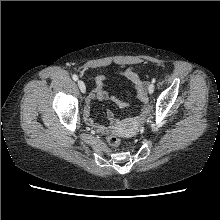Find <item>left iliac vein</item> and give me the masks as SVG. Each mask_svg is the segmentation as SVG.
Masks as SVG:
<instances>
[{
    "label": "left iliac vein",
    "mask_w": 220,
    "mask_h": 220,
    "mask_svg": "<svg viewBox=\"0 0 220 220\" xmlns=\"http://www.w3.org/2000/svg\"><path fill=\"white\" fill-rule=\"evenodd\" d=\"M154 89H155V85L153 83L150 84L149 87H148L149 94H152L154 92Z\"/></svg>",
    "instance_id": "4c4485c4"
}]
</instances>
